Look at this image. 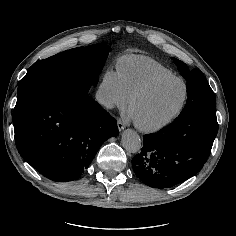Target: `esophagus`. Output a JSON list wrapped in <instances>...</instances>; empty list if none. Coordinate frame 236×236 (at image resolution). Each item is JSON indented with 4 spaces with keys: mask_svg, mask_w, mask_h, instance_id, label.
Listing matches in <instances>:
<instances>
[{
    "mask_svg": "<svg viewBox=\"0 0 236 236\" xmlns=\"http://www.w3.org/2000/svg\"><path fill=\"white\" fill-rule=\"evenodd\" d=\"M117 126H118L119 131H121L125 128V124L123 123V121L121 119L117 120Z\"/></svg>",
    "mask_w": 236,
    "mask_h": 236,
    "instance_id": "esophagus-1",
    "label": "esophagus"
}]
</instances>
